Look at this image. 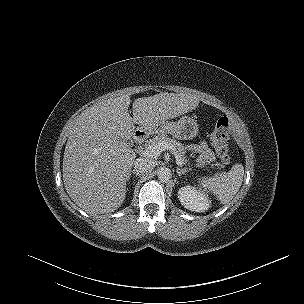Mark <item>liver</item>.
<instances>
[{"mask_svg": "<svg viewBox=\"0 0 304 304\" xmlns=\"http://www.w3.org/2000/svg\"><path fill=\"white\" fill-rule=\"evenodd\" d=\"M110 98L86 109L73 126L63 159V181L70 198L89 214L113 212L126 196V180L136 154L126 144L135 124L155 127L194 110L193 95L160 93L133 102Z\"/></svg>", "mask_w": 304, "mask_h": 304, "instance_id": "6515ba94", "label": "liver"}]
</instances>
